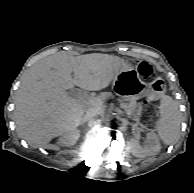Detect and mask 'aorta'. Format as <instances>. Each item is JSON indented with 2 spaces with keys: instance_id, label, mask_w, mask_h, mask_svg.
<instances>
[{
  "instance_id": "1",
  "label": "aorta",
  "mask_w": 194,
  "mask_h": 193,
  "mask_svg": "<svg viewBox=\"0 0 194 193\" xmlns=\"http://www.w3.org/2000/svg\"><path fill=\"white\" fill-rule=\"evenodd\" d=\"M118 117V112L114 109H109L105 113V118L107 120H112Z\"/></svg>"
}]
</instances>
